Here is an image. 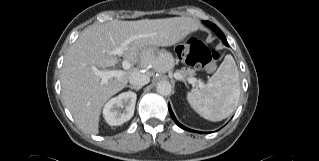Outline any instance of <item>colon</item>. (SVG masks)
Here are the masks:
<instances>
[{"mask_svg":"<svg viewBox=\"0 0 319 161\" xmlns=\"http://www.w3.org/2000/svg\"><path fill=\"white\" fill-rule=\"evenodd\" d=\"M179 59L194 69L213 68L220 54L215 49L207 48L198 38H190L177 46Z\"/></svg>","mask_w":319,"mask_h":161,"instance_id":"1","label":"colon"}]
</instances>
